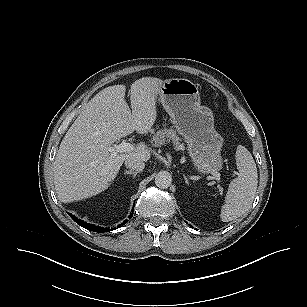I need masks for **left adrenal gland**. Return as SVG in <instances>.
<instances>
[{"label": "left adrenal gland", "instance_id": "obj_1", "mask_svg": "<svg viewBox=\"0 0 307 307\" xmlns=\"http://www.w3.org/2000/svg\"><path fill=\"white\" fill-rule=\"evenodd\" d=\"M184 179H185L186 184L189 185L188 178L185 175H184Z\"/></svg>", "mask_w": 307, "mask_h": 307}]
</instances>
